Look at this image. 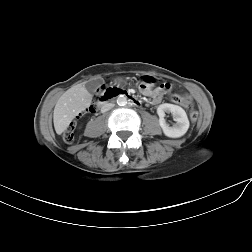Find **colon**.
<instances>
[{
  "label": "colon",
  "instance_id": "5ec220e1",
  "mask_svg": "<svg viewBox=\"0 0 252 252\" xmlns=\"http://www.w3.org/2000/svg\"><path fill=\"white\" fill-rule=\"evenodd\" d=\"M153 80L150 79V78H146L144 81H143V87H149L151 85H153ZM120 90L119 88L117 87H103L100 92H99V95L100 97H105V96H108V95H111L113 93H115L116 91ZM172 100L175 101V102H181L183 103L188 109H189V112H190V120L192 122H196L199 118V114L198 112L194 109V106H193V103L190 99L188 98H181L179 97L178 95H173L172 96ZM96 106L93 105L92 106V109H95ZM64 141L67 142V143H71L74 139V134H73V126H71L65 133H64Z\"/></svg>",
  "mask_w": 252,
  "mask_h": 252
}]
</instances>
